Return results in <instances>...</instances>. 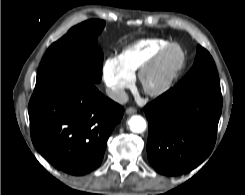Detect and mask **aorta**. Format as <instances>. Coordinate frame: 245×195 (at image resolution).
<instances>
[{
	"instance_id": "1",
	"label": "aorta",
	"mask_w": 245,
	"mask_h": 195,
	"mask_svg": "<svg viewBox=\"0 0 245 195\" xmlns=\"http://www.w3.org/2000/svg\"><path fill=\"white\" fill-rule=\"evenodd\" d=\"M129 128L134 133H142L146 129V121L142 116L133 115L129 122Z\"/></svg>"
}]
</instances>
